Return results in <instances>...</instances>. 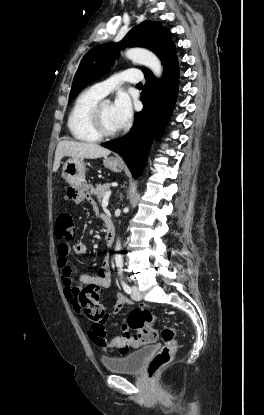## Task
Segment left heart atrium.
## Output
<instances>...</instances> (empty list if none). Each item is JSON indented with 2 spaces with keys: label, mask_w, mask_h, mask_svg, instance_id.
I'll use <instances>...</instances> for the list:
<instances>
[{
  "label": "left heart atrium",
  "mask_w": 264,
  "mask_h": 415,
  "mask_svg": "<svg viewBox=\"0 0 264 415\" xmlns=\"http://www.w3.org/2000/svg\"><path fill=\"white\" fill-rule=\"evenodd\" d=\"M112 114L118 128L126 126L132 118V104L129 96L121 92L112 105Z\"/></svg>",
  "instance_id": "1"
}]
</instances>
